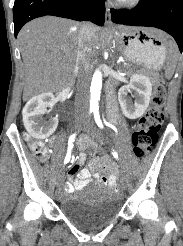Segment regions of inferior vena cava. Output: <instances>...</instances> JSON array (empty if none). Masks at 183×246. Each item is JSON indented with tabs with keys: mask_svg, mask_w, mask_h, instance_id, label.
Here are the masks:
<instances>
[{
	"mask_svg": "<svg viewBox=\"0 0 183 246\" xmlns=\"http://www.w3.org/2000/svg\"><path fill=\"white\" fill-rule=\"evenodd\" d=\"M94 35V25L86 22L81 26L78 39V52L76 64L74 68L75 74H79V82L77 85V93L75 97V106L80 110L88 109L89 102V81L87 72L90 67V62L87 59L86 45L91 41Z\"/></svg>",
	"mask_w": 183,
	"mask_h": 246,
	"instance_id": "inferior-vena-cava-1",
	"label": "inferior vena cava"
}]
</instances>
